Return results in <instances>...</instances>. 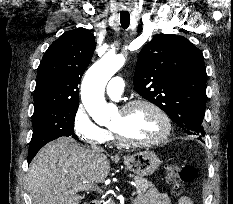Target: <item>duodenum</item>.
I'll list each match as a JSON object with an SVG mask.
<instances>
[{
	"label": "duodenum",
	"instance_id": "duodenum-1",
	"mask_svg": "<svg viewBox=\"0 0 233 204\" xmlns=\"http://www.w3.org/2000/svg\"><path fill=\"white\" fill-rule=\"evenodd\" d=\"M88 204H99L97 201H91Z\"/></svg>",
	"mask_w": 233,
	"mask_h": 204
}]
</instances>
